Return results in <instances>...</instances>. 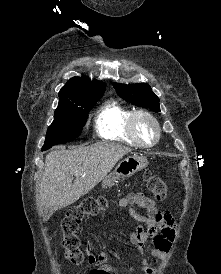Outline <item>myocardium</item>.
Wrapping results in <instances>:
<instances>
[{
    "label": "myocardium",
    "mask_w": 221,
    "mask_h": 274,
    "mask_svg": "<svg viewBox=\"0 0 221 274\" xmlns=\"http://www.w3.org/2000/svg\"><path fill=\"white\" fill-rule=\"evenodd\" d=\"M140 119H146L152 123L155 129V139L152 143L144 142L138 133V122ZM129 131L134 138V140L138 143L139 146L144 148H150L155 146L160 138H161V128L158 120L152 115L150 112L146 110H136L132 113L130 120H129Z\"/></svg>",
    "instance_id": "myocardium-1"
}]
</instances>
